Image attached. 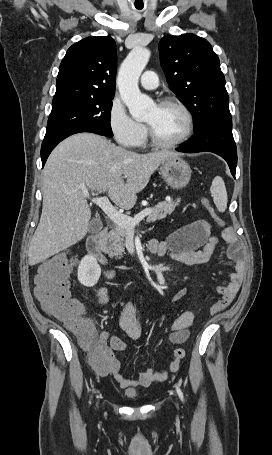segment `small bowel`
Returning a JSON list of instances; mask_svg holds the SVG:
<instances>
[{
  "label": "small bowel",
  "instance_id": "small-bowel-1",
  "mask_svg": "<svg viewBox=\"0 0 272 455\" xmlns=\"http://www.w3.org/2000/svg\"><path fill=\"white\" fill-rule=\"evenodd\" d=\"M222 239L228 244L227 255L234 263V270L230 274V281L227 285L217 287V292L221 299L211 306V313H218L230 305L242 284L246 265L242 256V251L235 233L231 229H226L221 234ZM219 237L211 231V225L205 220H197L187 224L168 236L163 241L152 239L148 242L149 250L156 256H168L174 261L185 265H200L207 263L218 244ZM108 279L115 277V272L108 270L105 272ZM97 300L100 305L108 302L107 289L101 287L97 290ZM187 295V289L181 288L174 293L172 302L179 301ZM194 320L191 311L181 313L172 324L170 340L175 344L184 343L190 335V327ZM121 329L132 339L137 340L141 335V325L138 322L132 304L127 303L121 309L119 315ZM102 342L108 340L109 348L112 351H124L125 342L115 335L102 333ZM185 357V350L178 348L174 352V359L170 364V371L175 373L180 368V362ZM101 375L112 374L117 383L123 387L142 386L148 387L153 382H162L167 378L166 370H147L140 372L135 380L128 379L120 372L119 362L109 354L106 366L97 368Z\"/></svg>",
  "mask_w": 272,
  "mask_h": 455
}]
</instances>
